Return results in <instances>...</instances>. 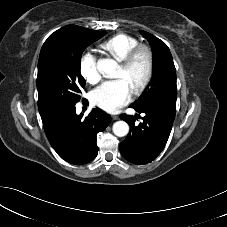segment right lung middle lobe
I'll return each instance as SVG.
<instances>
[{
  "label": "right lung middle lobe",
  "instance_id": "1",
  "mask_svg": "<svg viewBox=\"0 0 227 227\" xmlns=\"http://www.w3.org/2000/svg\"><path fill=\"white\" fill-rule=\"evenodd\" d=\"M102 36L92 35L80 28H66L48 37L38 62L40 114L85 99L81 95L85 87V79L80 74L81 54Z\"/></svg>",
  "mask_w": 227,
  "mask_h": 227
}]
</instances>
